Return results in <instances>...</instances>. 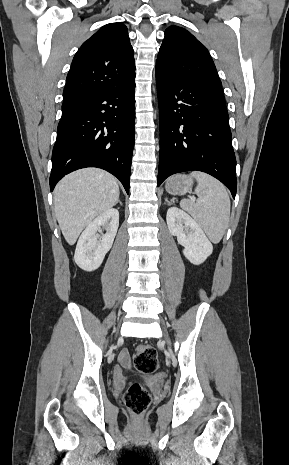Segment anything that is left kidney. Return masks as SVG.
<instances>
[{"label":"left kidney","instance_id":"1","mask_svg":"<svg viewBox=\"0 0 289 465\" xmlns=\"http://www.w3.org/2000/svg\"><path fill=\"white\" fill-rule=\"evenodd\" d=\"M169 232L184 247V256L193 264L203 263L213 252V246L200 225L186 212L171 207L166 216Z\"/></svg>","mask_w":289,"mask_h":465}]
</instances>
